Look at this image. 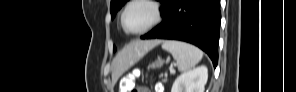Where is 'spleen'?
Wrapping results in <instances>:
<instances>
[{"label":"spleen","instance_id":"1","mask_svg":"<svg viewBox=\"0 0 296 92\" xmlns=\"http://www.w3.org/2000/svg\"><path fill=\"white\" fill-rule=\"evenodd\" d=\"M162 48L172 54L181 72L194 67L203 57L200 49L181 41H164Z\"/></svg>","mask_w":296,"mask_h":92}]
</instances>
